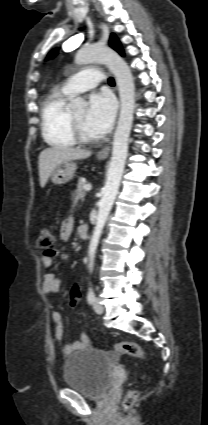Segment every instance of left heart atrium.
<instances>
[{"label":"left heart atrium","mask_w":208,"mask_h":425,"mask_svg":"<svg viewBox=\"0 0 208 425\" xmlns=\"http://www.w3.org/2000/svg\"><path fill=\"white\" fill-rule=\"evenodd\" d=\"M115 113V102L110 95L94 94L89 101L85 125L93 135L103 136L110 131Z\"/></svg>","instance_id":"39dd6f15"}]
</instances>
